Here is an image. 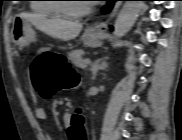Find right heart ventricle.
Instances as JSON below:
<instances>
[{"instance_id": "1", "label": "right heart ventricle", "mask_w": 182, "mask_h": 140, "mask_svg": "<svg viewBox=\"0 0 182 140\" xmlns=\"http://www.w3.org/2000/svg\"><path fill=\"white\" fill-rule=\"evenodd\" d=\"M56 0H32L30 9L37 14L46 16H60V12L57 9V4L52 3Z\"/></svg>"}]
</instances>
